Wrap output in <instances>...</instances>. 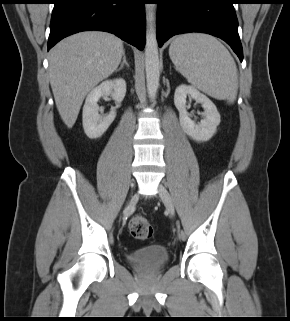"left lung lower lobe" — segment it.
I'll return each instance as SVG.
<instances>
[{
    "label": "left lung lower lobe",
    "mask_w": 290,
    "mask_h": 321,
    "mask_svg": "<svg viewBox=\"0 0 290 321\" xmlns=\"http://www.w3.org/2000/svg\"><path fill=\"white\" fill-rule=\"evenodd\" d=\"M157 39L161 47L170 37L202 32L223 39L243 60L238 21L233 4L236 0H155Z\"/></svg>",
    "instance_id": "left-lung-lower-lobe-1"
}]
</instances>
